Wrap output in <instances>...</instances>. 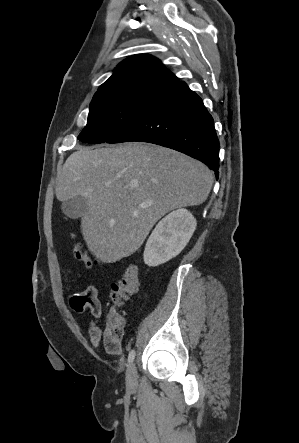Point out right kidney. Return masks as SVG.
<instances>
[{
  "label": "right kidney",
  "instance_id": "ca27d5eb",
  "mask_svg": "<svg viewBox=\"0 0 299 443\" xmlns=\"http://www.w3.org/2000/svg\"><path fill=\"white\" fill-rule=\"evenodd\" d=\"M196 226V219L186 209L169 213L159 221L148 238L144 263L155 267L176 257L189 242Z\"/></svg>",
  "mask_w": 299,
  "mask_h": 443
}]
</instances>
